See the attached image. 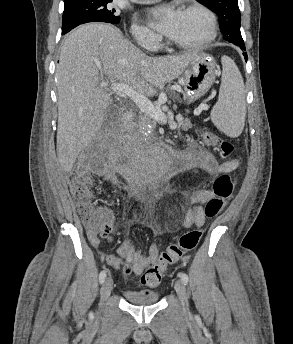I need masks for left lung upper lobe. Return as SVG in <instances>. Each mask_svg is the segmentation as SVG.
I'll return each instance as SVG.
<instances>
[{
	"label": "left lung upper lobe",
	"mask_w": 293,
	"mask_h": 344,
	"mask_svg": "<svg viewBox=\"0 0 293 344\" xmlns=\"http://www.w3.org/2000/svg\"><path fill=\"white\" fill-rule=\"evenodd\" d=\"M213 10L220 18L223 38L230 43L241 46L244 41L240 32V10L238 0H197Z\"/></svg>",
	"instance_id": "5c2ea615"
}]
</instances>
